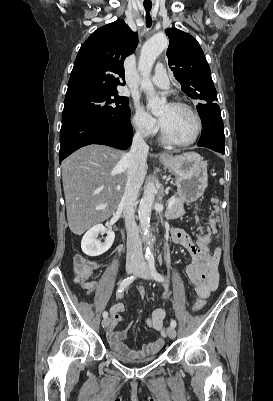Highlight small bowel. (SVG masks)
<instances>
[{
    "label": "small bowel",
    "instance_id": "c3829d8e",
    "mask_svg": "<svg viewBox=\"0 0 273 401\" xmlns=\"http://www.w3.org/2000/svg\"><path fill=\"white\" fill-rule=\"evenodd\" d=\"M207 227L212 229L214 224H218L220 218L218 215H211ZM172 235L190 252L192 261L186 268L188 271H204L208 276L207 284H193L195 304L193 309L199 310L202 308L207 299L214 293L218 287L219 273L218 264L220 260V249L216 248L210 251L209 245L215 238V231L208 230L205 234L198 237L194 242L191 237L185 233L182 228H174ZM90 261V260H89ZM82 283L84 289H91L92 299H98L99 304H108L109 296L104 295L103 290H93L94 284L86 280H77ZM139 294V293H138ZM125 305L122 302L114 304L109 309L110 322L107 328V337L110 346L114 351L123 356H150L154 355L163 345V341L167 339L166 333L160 334V339L146 344L140 351H130L123 343L122 339L126 336V330H118L119 323L124 319L123 313ZM166 317V309L163 307L157 308L153 311L152 315L147 319V326L157 332L163 330L164 320Z\"/></svg>",
    "mask_w": 273,
    "mask_h": 401
}]
</instances>
